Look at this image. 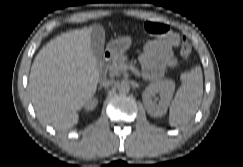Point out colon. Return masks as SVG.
Listing matches in <instances>:
<instances>
[{
  "mask_svg": "<svg viewBox=\"0 0 243 167\" xmlns=\"http://www.w3.org/2000/svg\"><path fill=\"white\" fill-rule=\"evenodd\" d=\"M143 30L148 35H161L167 32L168 25L162 21H146L143 25ZM180 52L187 61L191 58V48L187 43L186 37L181 36Z\"/></svg>",
  "mask_w": 243,
  "mask_h": 167,
  "instance_id": "colon-1",
  "label": "colon"
}]
</instances>
